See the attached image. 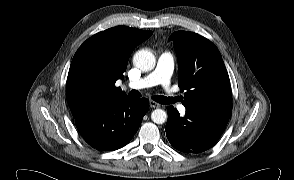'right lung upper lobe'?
I'll use <instances>...</instances> for the list:
<instances>
[{"mask_svg": "<svg viewBox=\"0 0 294 180\" xmlns=\"http://www.w3.org/2000/svg\"><path fill=\"white\" fill-rule=\"evenodd\" d=\"M151 35V31L116 26L93 35L79 47L66 87L73 117L128 97L115 82L123 78L132 50Z\"/></svg>", "mask_w": 294, "mask_h": 180, "instance_id": "obj_1", "label": "right lung upper lobe"}]
</instances>
